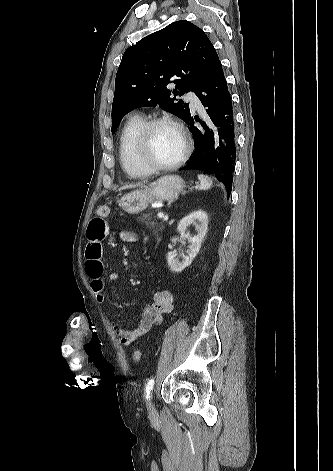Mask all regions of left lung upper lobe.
I'll return each instance as SVG.
<instances>
[{
    "label": "left lung upper lobe",
    "mask_w": 333,
    "mask_h": 471,
    "mask_svg": "<svg viewBox=\"0 0 333 471\" xmlns=\"http://www.w3.org/2000/svg\"><path fill=\"white\" fill-rule=\"evenodd\" d=\"M216 54L206 34L183 20L129 47L116 74L112 133L125 114L145 106L159 105L186 123L191 117L188 104L176 102L175 96L196 91ZM171 80L174 91L166 87Z\"/></svg>",
    "instance_id": "obj_1"
}]
</instances>
